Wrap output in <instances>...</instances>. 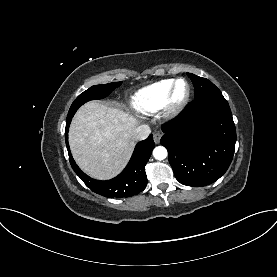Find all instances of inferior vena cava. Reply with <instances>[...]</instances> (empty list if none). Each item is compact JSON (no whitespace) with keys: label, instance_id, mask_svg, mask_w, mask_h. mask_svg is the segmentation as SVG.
I'll return each instance as SVG.
<instances>
[{"label":"inferior vena cava","instance_id":"inferior-vena-cava-1","mask_svg":"<svg viewBox=\"0 0 277 277\" xmlns=\"http://www.w3.org/2000/svg\"><path fill=\"white\" fill-rule=\"evenodd\" d=\"M150 132L148 125H140L134 129L132 136L135 140H144L149 136Z\"/></svg>","mask_w":277,"mask_h":277}]
</instances>
